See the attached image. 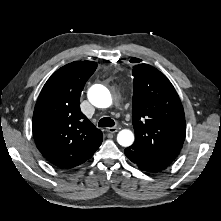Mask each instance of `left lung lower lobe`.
<instances>
[{
  "mask_svg": "<svg viewBox=\"0 0 221 221\" xmlns=\"http://www.w3.org/2000/svg\"><path fill=\"white\" fill-rule=\"evenodd\" d=\"M125 155L133 163H135L140 170L147 172H160L168 167L167 164L139 151L130 149L124 150Z\"/></svg>",
  "mask_w": 221,
  "mask_h": 221,
  "instance_id": "obj_1",
  "label": "left lung lower lobe"
}]
</instances>
